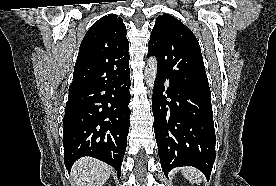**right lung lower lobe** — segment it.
Here are the masks:
<instances>
[{"mask_svg": "<svg viewBox=\"0 0 276 186\" xmlns=\"http://www.w3.org/2000/svg\"><path fill=\"white\" fill-rule=\"evenodd\" d=\"M129 74L103 86L69 91L63 120L68 172L77 159L91 156L114 167L120 177L130 126Z\"/></svg>", "mask_w": 276, "mask_h": 186, "instance_id": "1", "label": "right lung lower lobe"}]
</instances>
